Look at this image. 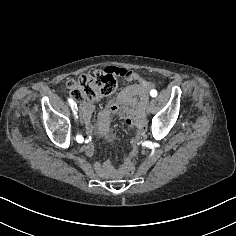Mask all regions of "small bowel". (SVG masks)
I'll return each instance as SVG.
<instances>
[{
    "instance_id": "obj_1",
    "label": "small bowel",
    "mask_w": 236,
    "mask_h": 236,
    "mask_svg": "<svg viewBox=\"0 0 236 236\" xmlns=\"http://www.w3.org/2000/svg\"><path fill=\"white\" fill-rule=\"evenodd\" d=\"M124 70L126 75L123 77L129 81H135V83L123 88L115 98L107 103L106 107L98 115L96 126H93L91 123V116L94 110L93 104L83 102L80 105L82 120L86 133L89 136L84 147L87 155H93L95 150L91 143V135L93 133L106 139L108 142L113 140L110 129V120L113 114H119L129 127L136 129L137 137L132 140V143L134 145L133 154L137 152V148L140 145V137L146 128L144 109L151 83L143 80L139 73L135 71ZM94 169L100 176L106 178L118 177L122 170V168L117 169L111 163L100 164L98 162L94 164Z\"/></svg>"
}]
</instances>
